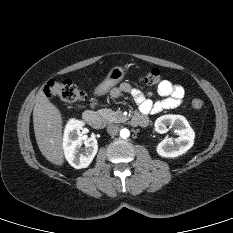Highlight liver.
<instances>
[{
  "label": "liver",
  "mask_w": 233,
  "mask_h": 233,
  "mask_svg": "<svg viewBox=\"0 0 233 233\" xmlns=\"http://www.w3.org/2000/svg\"><path fill=\"white\" fill-rule=\"evenodd\" d=\"M33 124L37 145L42 155L55 165H63L62 116L42 90L35 97Z\"/></svg>",
  "instance_id": "6515ba94"
}]
</instances>
